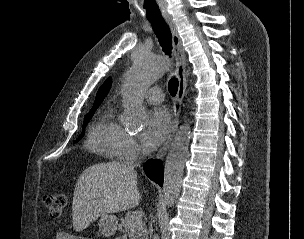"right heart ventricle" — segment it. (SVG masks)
Instances as JSON below:
<instances>
[{
    "label": "right heart ventricle",
    "instance_id": "e07e8e85",
    "mask_svg": "<svg viewBox=\"0 0 304 239\" xmlns=\"http://www.w3.org/2000/svg\"><path fill=\"white\" fill-rule=\"evenodd\" d=\"M124 129L115 121L112 110L100 115L90 126L87 146L108 158L119 156L118 147Z\"/></svg>",
    "mask_w": 304,
    "mask_h": 239
}]
</instances>
